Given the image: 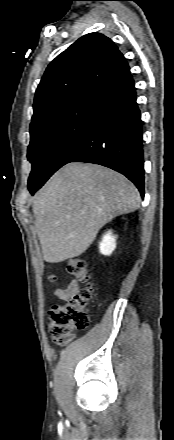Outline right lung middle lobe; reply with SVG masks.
I'll return each instance as SVG.
<instances>
[{"label": "right lung middle lobe", "instance_id": "right-lung-middle-lobe-1", "mask_svg": "<svg viewBox=\"0 0 174 440\" xmlns=\"http://www.w3.org/2000/svg\"><path fill=\"white\" fill-rule=\"evenodd\" d=\"M96 103L95 94L61 106L30 126L27 158L32 164L29 191L66 164L83 140Z\"/></svg>", "mask_w": 174, "mask_h": 440}]
</instances>
